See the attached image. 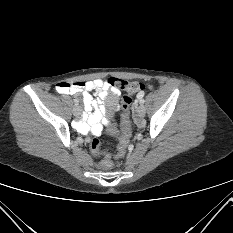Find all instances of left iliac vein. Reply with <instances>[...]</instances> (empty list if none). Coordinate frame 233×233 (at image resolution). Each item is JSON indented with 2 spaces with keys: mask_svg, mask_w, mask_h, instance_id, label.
I'll return each instance as SVG.
<instances>
[{
  "mask_svg": "<svg viewBox=\"0 0 233 233\" xmlns=\"http://www.w3.org/2000/svg\"><path fill=\"white\" fill-rule=\"evenodd\" d=\"M136 112L139 117H144L146 112L145 107L143 105H139Z\"/></svg>",
  "mask_w": 233,
  "mask_h": 233,
  "instance_id": "1",
  "label": "left iliac vein"
}]
</instances>
